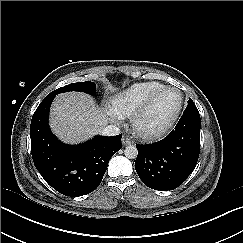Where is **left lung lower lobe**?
<instances>
[{"label": "left lung lower lobe", "instance_id": "obj_1", "mask_svg": "<svg viewBox=\"0 0 243 243\" xmlns=\"http://www.w3.org/2000/svg\"><path fill=\"white\" fill-rule=\"evenodd\" d=\"M200 127L197 108H186L166 138L150 145H136L135 169L147 187L173 190L192 173L200 153Z\"/></svg>", "mask_w": 243, "mask_h": 243}]
</instances>
